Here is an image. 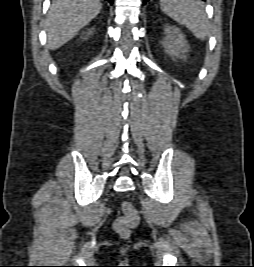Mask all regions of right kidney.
<instances>
[{
  "mask_svg": "<svg viewBox=\"0 0 254 267\" xmlns=\"http://www.w3.org/2000/svg\"><path fill=\"white\" fill-rule=\"evenodd\" d=\"M92 33H93V31L89 30L88 33H87V36H90Z\"/></svg>",
  "mask_w": 254,
  "mask_h": 267,
  "instance_id": "ca27d5eb",
  "label": "right kidney"
}]
</instances>
